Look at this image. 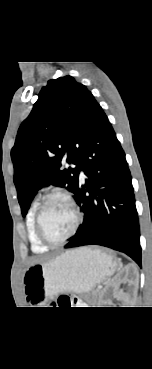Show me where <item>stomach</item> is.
<instances>
[{
	"label": "stomach",
	"instance_id": "stomach-1",
	"mask_svg": "<svg viewBox=\"0 0 152 369\" xmlns=\"http://www.w3.org/2000/svg\"><path fill=\"white\" fill-rule=\"evenodd\" d=\"M116 269L112 257L90 248L69 250L44 263L29 266L23 286L30 304L45 303L63 292L87 293Z\"/></svg>",
	"mask_w": 152,
	"mask_h": 369
}]
</instances>
